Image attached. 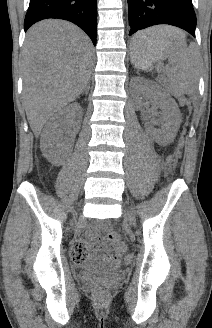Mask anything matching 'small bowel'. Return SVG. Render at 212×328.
<instances>
[{
	"label": "small bowel",
	"instance_id": "1",
	"mask_svg": "<svg viewBox=\"0 0 212 328\" xmlns=\"http://www.w3.org/2000/svg\"><path fill=\"white\" fill-rule=\"evenodd\" d=\"M87 241H75L72 253L79 255L83 261L91 252L98 253L105 262L107 267H118L121 260L122 253L117 251L113 246L103 243L99 239L98 229L94 226L87 231Z\"/></svg>",
	"mask_w": 212,
	"mask_h": 328
}]
</instances>
